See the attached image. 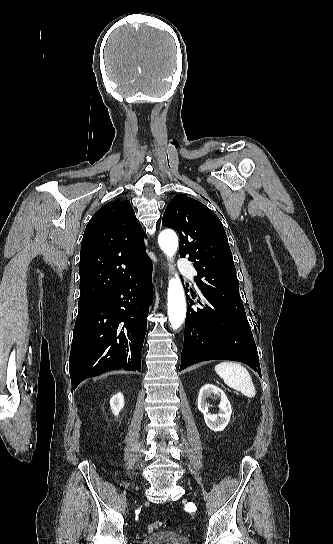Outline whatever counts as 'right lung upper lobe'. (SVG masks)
Returning <instances> with one entry per match:
<instances>
[{
    "label": "right lung upper lobe",
    "instance_id": "obj_1",
    "mask_svg": "<svg viewBox=\"0 0 333 544\" xmlns=\"http://www.w3.org/2000/svg\"><path fill=\"white\" fill-rule=\"evenodd\" d=\"M146 234L131 204L117 198L88 222L80 252L79 301L106 298L126 280L152 264Z\"/></svg>",
    "mask_w": 333,
    "mask_h": 544
}]
</instances>
